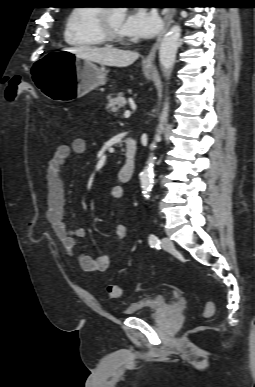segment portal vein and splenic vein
Masks as SVG:
<instances>
[{
  "label": "portal vein and splenic vein",
  "mask_w": 255,
  "mask_h": 387,
  "mask_svg": "<svg viewBox=\"0 0 255 387\" xmlns=\"http://www.w3.org/2000/svg\"><path fill=\"white\" fill-rule=\"evenodd\" d=\"M130 115H131V111L130 110H126L124 112V117L128 118V117H130Z\"/></svg>",
  "instance_id": "obj_1"
}]
</instances>
